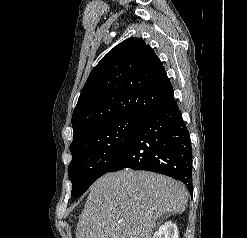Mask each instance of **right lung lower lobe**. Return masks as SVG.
Wrapping results in <instances>:
<instances>
[{
    "label": "right lung lower lobe",
    "mask_w": 247,
    "mask_h": 238,
    "mask_svg": "<svg viewBox=\"0 0 247 238\" xmlns=\"http://www.w3.org/2000/svg\"><path fill=\"white\" fill-rule=\"evenodd\" d=\"M125 168L164 174L192 190V147L174 97L142 118L107 172Z\"/></svg>",
    "instance_id": "1"
}]
</instances>
